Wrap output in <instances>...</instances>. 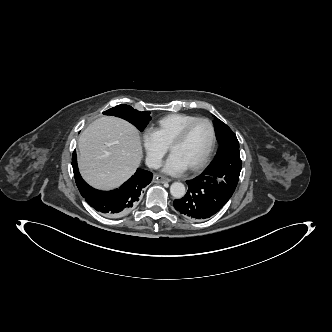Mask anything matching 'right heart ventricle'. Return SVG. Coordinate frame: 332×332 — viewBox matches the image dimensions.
Here are the masks:
<instances>
[{
    "label": "right heart ventricle",
    "instance_id": "right-heart-ventricle-1",
    "mask_svg": "<svg viewBox=\"0 0 332 332\" xmlns=\"http://www.w3.org/2000/svg\"><path fill=\"white\" fill-rule=\"evenodd\" d=\"M196 118L198 117L188 114H169L157 120L151 130L159 141L168 147L182 127Z\"/></svg>",
    "mask_w": 332,
    "mask_h": 332
}]
</instances>
